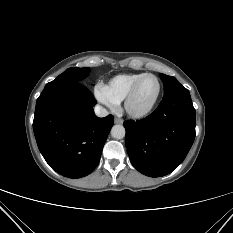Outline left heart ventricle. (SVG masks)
Instances as JSON below:
<instances>
[{
	"label": "left heart ventricle",
	"instance_id": "1",
	"mask_svg": "<svg viewBox=\"0 0 233 233\" xmlns=\"http://www.w3.org/2000/svg\"><path fill=\"white\" fill-rule=\"evenodd\" d=\"M157 90V81L152 77L145 78L137 89V92L131 102V107L135 110H142L146 108L154 100Z\"/></svg>",
	"mask_w": 233,
	"mask_h": 233
}]
</instances>
